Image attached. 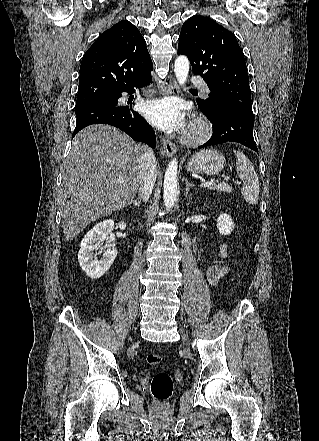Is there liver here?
<instances>
[{
	"label": "liver",
	"instance_id": "6515ba94",
	"mask_svg": "<svg viewBox=\"0 0 319 441\" xmlns=\"http://www.w3.org/2000/svg\"><path fill=\"white\" fill-rule=\"evenodd\" d=\"M141 148L121 130L104 124L88 126L74 137L62 168L65 240H72L91 222L132 203L141 177Z\"/></svg>",
	"mask_w": 319,
	"mask_h": 441
}]
</instances>
